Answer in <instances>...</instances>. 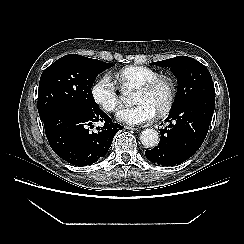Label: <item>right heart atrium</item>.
Listing matches in <instances>:
<instances>
[{
	"label": "right heart atrium",
	"mask_w": 244,
	"mask_h": 244,
	"mask_svg": "<svg viewBox=\"0 0 244 244\" xmlns=\"http://www.w3.org/2000/svg\"><path fill=\"white\" fill-rule=\"evenodd\" d=\"M94 102L106 112H115L121 105L119 93L110 77H100L91 88Z\"/></svg>",
	"instance_id": "obj_1"
}]
</instances>
